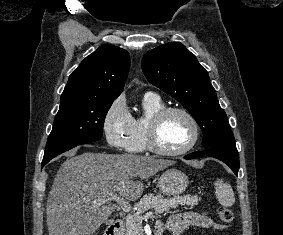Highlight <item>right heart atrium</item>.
Masks as SVG:
<instances>
[{"label": "right heart atrium", "mask_w": 283, "mask_h": 235, "mask_svg": "<svg viewBox=\"0 0 283 235\" xmlns=\"http://www.w3.org/2000/svg\"><path fill=\"white\" fill-rule=\"evenodd\" d=\"M131 118L124 97L116 98L107 109L103 119V131L111 147L116 149L125 148Z\"/></svg>", "instance_id": "1"}]
</instances>
